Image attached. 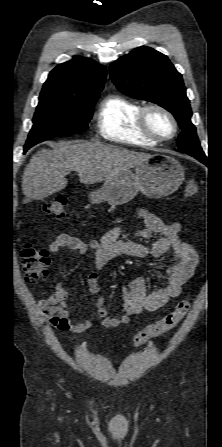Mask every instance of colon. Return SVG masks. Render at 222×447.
Here are the masks:
<instances>
[{
  "instance_id": "1",
  "label": "colon",
  "mask_w": 222,
  "mask_h": 447,
  "mask_svg": "<svg viewBox=\"0 0 222 447\" xmlns=\"http://www.w3.org/2000/svg\"><path fill=\"white\" fill-rule=\"evenodd\" d=\"M199 187L195 180H189L185 186L184 196L196 197ZM44 212L55 218H64L67 215V198L58 196L44 205ZM21 265L25 280L35 283L47 276L50 256L47 250L37 249L30 244L22 246L20 251ZM190 303L182 300L169 311L161 320L149 324L139 331L134 338V345L139 347L152 337L162 335L175 328L189 311Z\"/></svg>"
}]
</instances>
